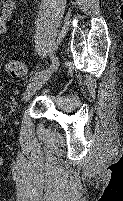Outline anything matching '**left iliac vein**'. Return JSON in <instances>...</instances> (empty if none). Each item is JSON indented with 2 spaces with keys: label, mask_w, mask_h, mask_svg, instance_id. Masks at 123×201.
<instances>
[{
  "label": "left iliac vein",
  "mask_w": 123,
  "mask_h": 201,
  "mask_svg": "<svg viewBox=\"0 0 123 201\" xmlns=\"http://www.w3.org/2000/svg\"><path fill=\"white\" fill-rule=\"evenodd\" d=\"M55 71L56 69L49 67L45 72L35 76L27 86V89L23 95V100L25 102L29 101L30 98L36 93V91L46 83V81L53 75Z\"/></svg>",
  "instance_id": "left-iliac-vein-1"
}]
</instances>
